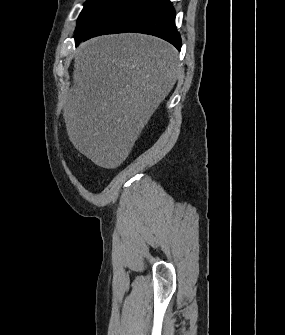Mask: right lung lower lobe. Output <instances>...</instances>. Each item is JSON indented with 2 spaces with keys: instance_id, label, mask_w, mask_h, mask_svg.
<instances>
[{
  "instance_id": "98d812e1",
  "label": "right lung lower lobe",
  "mask_w": 285,
  "mask_h": 335,
  "mask_svg": "<svg viewBox=\"0 0 285 335\" xmlns=\"http://www.w3.org/2000/svg\"><path fill=\"white\" fill-rule=\"evenodd\" d=\"M175 15L170 0H120L82 40L102 34L137 32L160 37L180 50L181 37L176 30Z\"/></svg>"
}]
</instances>
